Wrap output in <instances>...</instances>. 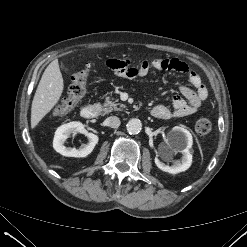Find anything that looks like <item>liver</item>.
I'll list each match as a JSON object with an SVG mask.
<instances>
[{
	"label": "liver",
	"mask_w": 247,
	"mask_h": 247,
	"mask_svg": "<svg viewBox=\"0 0 247 247\" xmlns=\"http://www.w3.org/2000/svg\"><path fill=\"white\" fill-rule=\"evenodd\" d=\"M63 88L64 82L58 61L53 60L45 69L32 101V129H34L45 115L58 103Z\"/></svg>",
	"instance_id": "obj_1"
}]
</instances>
